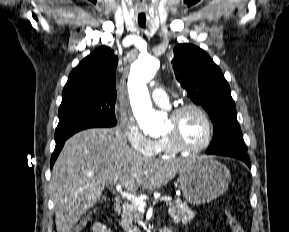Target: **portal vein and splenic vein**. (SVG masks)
Instances as JSON below:
<instances>
[{
	"label": "portal vein and splenic vein",
	"instance_id": "obj_1",
	"mask_svg": "<svg viewBox=\"0 0 289 232\" xmlns=\"http://www.w3.org/2000/svg\"><path fill=\"white\" fill-rule=\"evenodd\" d=\"M116 191L119 192L124 198L130 200L135 206H137L139 211H144L145 207L147 206V203L145 201H143V199L138 198L137 196H135L132 193L126 192L122 190V185L120 183L116 184ZM172 198L171 197H161L160 201L161 202H169L171 201ZM155 203V202H153Z\"/></svg>",
	"mask_w": 289,
	"mask_h": 232
}]
</instances>
